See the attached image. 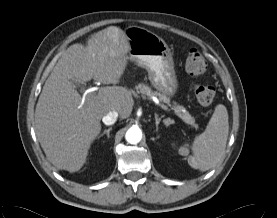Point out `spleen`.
Returning a JSON list of instances; mask_svg holds the SVG:
<instances>
[{
    "instance_id": "obj_1",
    "label": "spleen",
    "mask_w": 277,
    "mask_h": 218,
    "mask_svg": "<svg viewBox=\"0 0 277 218\" xmlns=\"http://www.w3.org/2000/svg\"><path fill=\"white\" fill-rule=\"evenodd\" d=\"M228 133V112L224 105L219 104L215 107L205 131L193 141V156L189 159L190 166L200 171L213 168L224 154ZM179 153L188 155L189 149L181 147Z\"/></svg>"
}]
</instances>
